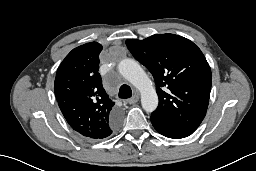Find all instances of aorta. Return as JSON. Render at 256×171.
I'll return each instance as SVG.
<instances>
[{
	"mask_svg": "<svg viewBox=\"0 0 256 171\" xmlns=\"http://www.w3.org/2000/svg\"><path fill=\"white\" fill-rule=\"evenodd\" d=\"M120 74L141 93V104L146 112L158 106V96L153 84L142 67L133 59L126 58L118 64Z\"/></svg>",
	"mask_w": 256,
	"mask_h": 171,
	"instance_id": "obj_1",
	"label": "aorta"
}]
</instances>
